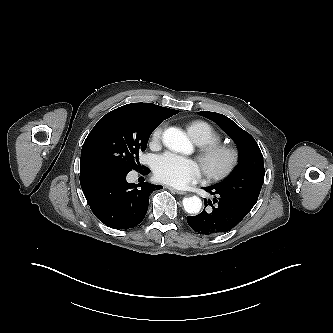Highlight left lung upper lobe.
I'll return each instance as SVG.
<instances>
[{
	"mask_svg": "<svg viewBox=\"0 0 333 333\" xmlns=\"http://www.w3.org/2000/svg\"><path fill=\"white\" fill-rule=\"evenodd\" d=\"M198 114L217 123L235 141L241 154L238 169L228 179L212 186L257 201L264 182L265 170L263 155L255 139L222 114L209 111H201Z\"/></svg>",
	"mask_w": 333,
	"mask_h": 333,
	"instance_id": "5c2ea615",
	"label": "left lung upper lobe"
}]
</instances>
